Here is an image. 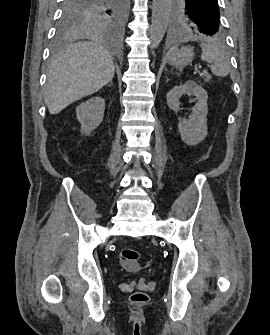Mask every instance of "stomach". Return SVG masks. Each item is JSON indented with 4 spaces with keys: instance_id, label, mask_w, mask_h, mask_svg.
<instances>
[{
    "instance_id": "obj_1",
    "label": "stomach",
    "mask_w": 270,
    "mask_h": 335,
    "mask_svg": "<svg viewBox=\"0 0 270 335\" xmlns=\"http://www.w3.org/2000/svg\"><path fill=\"white\" fill-rule=\"evenodd\" d=\"M192 46H182L180 50H170L168 60L171 66H175L176 70H183L189 62L193 60Z\"/></svg>"
}]
</instances>
